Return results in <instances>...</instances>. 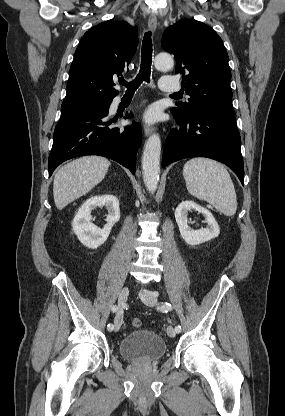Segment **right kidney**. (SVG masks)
<instances>
[{
  "label": "right kidney",
  "instance_id": "ca27d5eb",
  "mask_svg": "<svg viewBox=\"0 0 285 416\" xmlns=\"http://www.w3.org/2000/svg\"><path fill=\"white\" fill-rule=\"evenodd\" d=\"M97 206H106L107 210H109L106 220L107 224H105L102 230L90 222L92 220L91 210H94ZM118 220H120L118 198L116 196H94V198L86 200L85 204H82L81 208H79L72 222V228L83 246L95 250V248H99L106 242L114 224Z\"/></svg>",
  "mask_w": 285,
  "mask_h": 416
}]
</instances>
